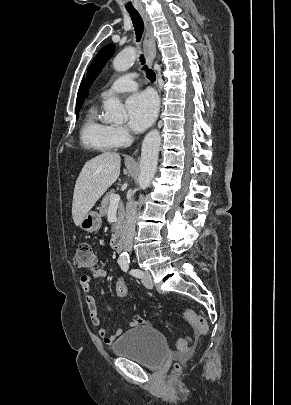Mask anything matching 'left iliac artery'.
I'll return each instance as SVG.
<instances>
[{
    "instance_id": "1",
    "label": "left iliac artery",
    "mask_w": 291,
    "mask_h": 405,
    "mask_svg": "<svg viewBox=\"0 0 291 405\" xmlns=\"http://www.w3.org/2000/svg\"><path fill=\"white\" fill-rule=\"evenodd\" d=\"M120 267L124 272H127L129 270V261H125V262L120 263ZM129 273L132 276L138 277V278L142 277V275H143V272L141 270H139V269H131L129 271Z\"/></svg>"
}]
</instances>
